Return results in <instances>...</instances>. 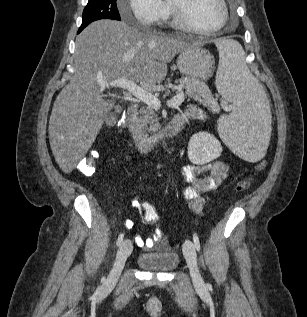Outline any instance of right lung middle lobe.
<instances>
[{
    "label": "right lung middle lobe",
    "instance_id": "dd1d6c3e",
    "mask_svg": "<svg viewBox=\"0 0 307 317\" xmlns=\"http://www.w3.org/2000/svg\"><path fill=\"white\" fill-rule=\"evenodd\" d=\"M99 19L121 20L116 0H89L83 11L80 28L84 29L91 22Z\"/></svg>",
    "mask_w": 307,
    "mask_h": 317
}]
</instances>
